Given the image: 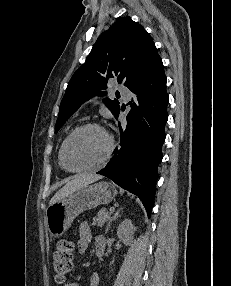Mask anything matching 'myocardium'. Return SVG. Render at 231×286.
Listing matches in <instances>:
<instances>
[{
    "instance_id": "myocardium-1",
    "label": "myocardium",
    "mask_w": 231,
    "mask_h": 286,
    "mask_svg": "<svg viewBox=\"0 0 231 286\" xmlns=\"http://www.w3.org/2000/svg\"><path fill=\"white\" fill-rule=\"evenodd\" d=\"M88 128L97 129V130L101 131L107 137V139H108L107 152L99 161H97L95 163H92L90 165H87V166H84V167H81V168H77V169L69 168L66 165V161H65V154H66L67 145H68L69 141L78 132H80V131H82L84 129H88ZM114 149H115V142H114V139H113L112 135L109 133V131L104 126H102L99 123L87 122V123H84V124L76 127L74 130H72L70 132V134L63 141L62 146H61V152H60V165H61V167L64 170H66L68 172H71V173H81V172L89 171V170H92V169H96L98 167H101V166L105 165L110 160V158H111V156H112V154L114 152Z\"/></svg>"
}]
</instances>
